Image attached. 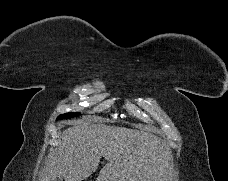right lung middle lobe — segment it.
I'll return each mask as SVG.
<instances>
[{"label":"right lung middle lobe","mask_w":228,"mask_h":181,"mask_svg":"<svg viewBox=\"0 0 228 181\" xmlns=\"http://www.w3.org/2000/svg\"><path fill=\"white\" fill-rule=\"evenodd\" d=\"M78 114L79 113H67V114H63V115L58 116L57 120L71 118L72 116H76Z\"/></svg>","instance_id":"dd1d6c3e"}]
</instances>
